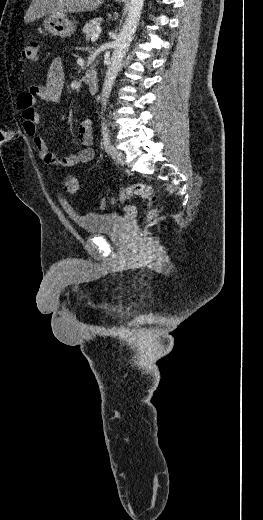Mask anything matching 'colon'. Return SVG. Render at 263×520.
Listing matches in <instances>:
<instances>
[{"instance_id": "1", "label": "colon", "mask_w": 263, "mask_h": 520, "mask_svg": "<svg viewBox=\"0 0 263 520\" xmlns=\"http://www.w3.org/2000/svg\"><path fill=\"white\" fill-rule=\"evenodd\" d=\"M22 56L30 62H37L38 57H39V42L35 39H30L26 43V45L22 51ZM64 189L70 194L77 193V191L79 189L78 179L72 175L66 176V178L64 180ZM152 193H153V190L150 185H147L145 183H135V184H132L130 186L123 188L119 192L118 196L111 198L110 200L103 199L100 203V206H101V208H105L108 205H112L117 202L125 201L126 199L133 197V196H138V197H141L144 199H148L151 197ZM158 214H159L158 209L151 208L146 213V220L151 221V220L155 219L158 216Z\"/></svg>"}]
</instances>
